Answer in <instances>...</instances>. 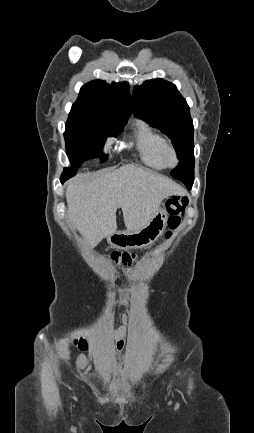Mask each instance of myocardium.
I'll list each match as a JSON object with an SVG mask.
<instances>
[{"instance_id":"f54148a6","label":"myocardium","mask_w":254,"mask_h":433,"mask_svg":"<svg viewBox=\"0 0 254 433\" xmlns=\"http://www.w3.org/2000/svg\"><path fill=\"white\" fill-rule=\"evenodd\" d=\"M161 158L166 166L175 167L179 163V155L176 148L170 142L165 141L160 151Z\"/></svg>"}]
</instances>
